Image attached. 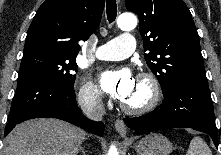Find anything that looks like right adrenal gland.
I'll use <instances>...</instances> for the list:
<instances>
[{"label": "right adrenal gland", "mask_w": 221, "mask_h": 155, "mask_svg": "<svg viewBox=\"0 0 221 155\" xmlns=\"http://www.w3.org/2000/svg\"><path fill=\"white\" fill-rule=\"evenodd\" d=\"M80 152H81V155H86V153H85V148L84 147H80Z\"/></svg>", "instance_id": "right-adrenal-gland-1"}]
</instances>
